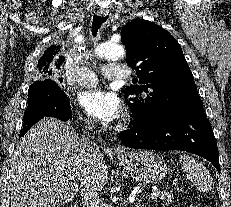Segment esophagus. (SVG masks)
<instances>
[{
    "instance_id": "obj_1",
    "label": "esophagus",
    "mask_w": 231,
    "mask_h": 207,
    "mask_svg": "<svg viewBox=\"0 0 231 207\" xmlns=\"http://www.w3.org/2000/svg\"><path fill=\"white\" fill-rule=\"evenodd\" d=\"M108 14H109V12L106 11V10H102V11L98 12V15L103 16V17L108 16ZM113 149H114L115 152H117V151L121 150V147L120 146H115Z\"/></svg>"
}]
</instances>
